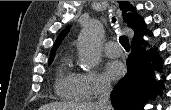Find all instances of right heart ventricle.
I'll list each match as a JSON object with an SVG mask.
<instances>
[{"mask_svg": "<svg viewBox=\"0 0 171 110\" xmlns=\"http://www.w3.org/2000/svg\"><path fill=\"white\" fill-rule=\"evenodd\" d=\"M55 91L59 97L68 101L86 99L79 75L69 67L68 58H64L58 68L55 79Z\"/></svg>", "mask_w": 171, "mask_h": 110, "instance_id": "obj_1", "label": "right heart ventricle"}]
</instances>
